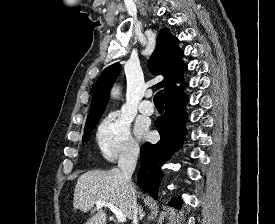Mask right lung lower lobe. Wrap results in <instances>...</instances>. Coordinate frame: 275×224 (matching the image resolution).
<instances>
[{"label":"right lung lower lobe","instance_id":"obj_1","mask_svg":"<svg viewBox=\"0 0 275 224\" xmlns=\"http://www.w3.org/2000/svg\"><path fill=\"white\" fill-rule=\"evenodd\" d=\"M164 99L165 113L155 121L161 139L156 144L147 142L141 147V167L137 176L139 187L154 198H157L162 178L160 164L169 159L184 140L182 133L186 119L184 107L187 98L182 87L176 86L169 90L164 94ZM170 205L180 208L181 201L175 198Z\"/></svg>","mask_w":275,"mask_h":224}]
</instances>
